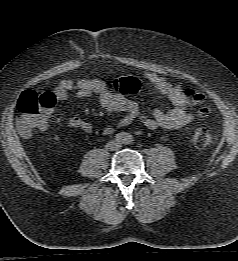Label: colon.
I'll list each match as a JSON object with an SVG mask.
<instances>
[{
  "mask_svg": "<svg viewBox=\"0 0 238 261\" xmlns=\"http://www.w3.org/2000/svg\"><path fill=\"white\" fill-rule=\"evenodd\" d=\"M142 87V82L135 77H121L109 84V88L121 94H134ZM184 94L190 97L197 105L200 116L209 114V108L205 105L204 94L190 88L184 89ZM55 97L50 92L35 93L24 92L18 101L17 129L24 137L31 136L37 129H41L46 120L47 113L54 107ZM214 141L211 130L206 126H199L194 129L191 135V142L198 148L207 147Z\"/></svg>",
  "mask_w": 238,
  "mask_h": 261,
  "instance_id": "5ec220e1",
  "label": "colon"
}]
</instances>
